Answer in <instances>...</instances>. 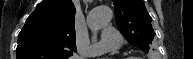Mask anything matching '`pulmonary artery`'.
Masks as SVG:
<instances>
[{
  "label": "pulmonary artery",
  "instance_id": "obj_1",
  "mask_svg": "<svg viewBox=\"0 0 193 59\" xmlns=\"http://www.w3.org/2000/svg\"><path fill=\"white\" fill-rule=\"evenodd\" d=\"M120 43V34L111 26L104 27L101 40L97 43L92 44L86 55L89 57L98 56L102 54L105 48L116 49L120 46Z\"/></svg>",
  "mask_w": 193,
  "mask_h": 59
}]
</instances>
